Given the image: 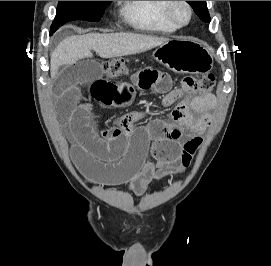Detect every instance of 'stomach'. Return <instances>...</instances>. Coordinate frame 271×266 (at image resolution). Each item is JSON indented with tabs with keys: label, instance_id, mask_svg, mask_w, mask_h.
Instances as JSON below:
<instances>
[{
	"label": "stomach",
	"instance_id": "0dacf381",
	"mask_svg": "<svg viewBox=\"0 0 271 266\" xmlns=\"http://www.w3.org/2000/svg\"><path fill=\"white\" fill-rule=\"evenodd\" d=\"M152 56L175 73L202 74L213 68L210 51L194 39L169 40L157 48Z\"/></svg>",
	"mask_w": 271,
	"mask_h": 266
}]
</instances>
